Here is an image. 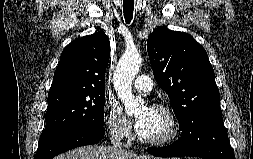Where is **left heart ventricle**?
Segmentation results:
<instances>
[{
    "label": "left heart ventricle",
    "instance_id": "obj_1",
    "mask_svg": "<svg viewBox=\"0 0 253 159\" xmlns=\"http://www.w3.org/2000/svg\"><path fill=\"white\" fill-rule=\"evenodd\" d=\"M145 109V108H144ZM144 109L139 110L138 116H141ZM170 131V125L164 113L156 109H150L149 115L139 132L147 138L158 139L166 136Z\"/></svg>",
    "mask_w": 253,
    "mask_h": 159
}]
</instances>
